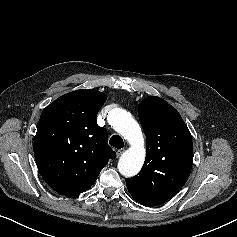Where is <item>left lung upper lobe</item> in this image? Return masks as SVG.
Returning <instances> with one entry per match:
<instances>
[{"mask_svg":"<svg viewBox=\"0 0 237 237\" xmlns=\"http://www.w3.org/2000/svg\"><path fill=\"white\" fill-rule=\"evenodd\" d=\"M138 116L146 135V158L141 171L125 181L137 202L152 207L175 196L186 183L192 168V138L179 112L159 97H146Z\"/></svg>","mask_w":237,"mask_h":237,"instance_id":"obj_1","label":"left lung upper lobe"}]
</instances>
